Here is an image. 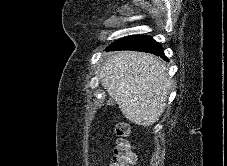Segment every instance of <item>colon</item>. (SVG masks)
Returning <instances> with one entry per match:
<instances>
[{
    "label": "colon",
    "mask_w": 227,
    "mask_h": 166,
    "mask_svg": "<svg viewBox=\"0 0 227 166\" xmlns=\"http://www.w3.org/2000/svg\"><path fill=\"white\" fill-rule=\"evenodd\" d=\"M117 144L114 157L110 166H130L135 161L133 145L129 138V128L126 124L120 123L115 128Z\"/></svg>",
    "instance_id": "colon-1"
}]
</instances>
